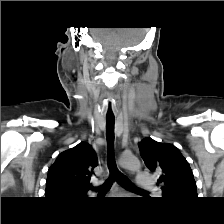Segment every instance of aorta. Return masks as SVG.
Wrapping results in <instances>:
<instances>
[{
	"mask_svg": "<svg viewBox=\"0 0 224 224\" xmlns=\"http://www.w3.org/2000/svg\"><path fill=\"white\" fill-rule=\"evenodd\" d=\"M120 164L129 170H139L141 166L139 159L133 155L122 156L120 158Z\"/></svg>",
	"mask_w": 224,
	"mask_h": 224,
	"instance_id": "obj_1",
	"label": "aorta"
}]
</instances>
